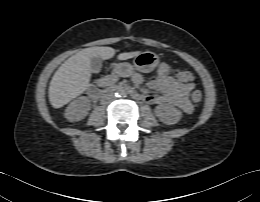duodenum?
<instances>
[{
	"instance_id": "410a0bca",
	"label": "duodenum",
	"mask_w": 260,
	"mask_h": 202,
	"mask_svg": "<svg viewBox=\"0 0 260 202\" xmlns=\"http://www.w3.org/2000/svg\"><path fill=\"white\" fill-rule=\"evenodd\" d=\"M101 84L111 85L112 83L105 82L102 80ZM116 90L120 91V92H126L127 94H130L133 98L142 99V95L137 93L134 89H132L130 87L118 86V87H116ZM87 92L91 98H97L100 95V92L95 87L88 88Z\"/></svg>"
}]
</instances>
